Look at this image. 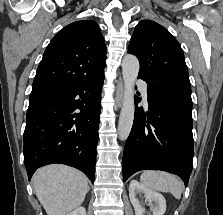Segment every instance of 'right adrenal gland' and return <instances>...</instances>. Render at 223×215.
<instances>
[{"label":"right adrenal gland","instance_id":"right-adrenal-gland-1","mask_svg":"<svg viewBox=\"0 0 223 215\" xmlns=\"http://www.w3.org/2000/svg\"><path fill=\"white\" fill-rule=\"evenodd\" d=\"M87 189H88V191H89L90 187H87Z\"/></svg>","mask_w":223,"mask_h":215}]
</instances>
